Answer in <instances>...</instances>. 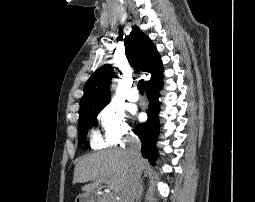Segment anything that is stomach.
I'll return each instance as SVG.
<instances>
[{
  "label": "stomach",
  "instance_id": "0dacf381",
  "mask_svg": "<svg viewBox=\"0 0 255 202\" xmlns=\"http://www.w3.org/2000/svg\"><path fill=\"white\" fill-rule=\"evenodd\" d=\"M75 202H95L93 195L89 193L80 194L76 197Z\"/></svg>",
  "mask_w": 255,
  "mask_h": 202
}]
</instances>
